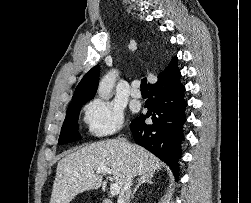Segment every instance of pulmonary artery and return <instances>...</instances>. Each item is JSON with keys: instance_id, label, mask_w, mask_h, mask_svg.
Segmentation results:
<instances>
[{"instance_id": "pulmonary-artery-1", "label": "pulmonary artery", "mask_w": 251, "mask_h": 203, "mask_svg": "<svg viewBox=\"0 0 251 203\" xmlns=\"http://www.w3.org/2000/svg\"><path fill=\"white\" fill-rule=\"evenodd\" d=\"M130 94L133 98H140L141 97V92L138 89V82H134L132 84V89L130 91Z\"/></svg>"}]
</instances>
